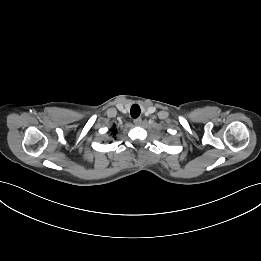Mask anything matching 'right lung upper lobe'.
<instances>
[{
	"mask_svg": "<svg viewBox=\"0 0 261 261\" xmlns=\"http://www.w3.org/2000/svg\"><path fill=\"white\" fill-rule=\"evenodd\" d=\"M111 131L113 132V135L116 134L117 130L116 129H111Z\"/></svg>",
	"mask_w": 261,
	"mask_h": 261,
	"instance_id": "obj_1",
	"label": "right lung upper lobe"
}]
</instances>
